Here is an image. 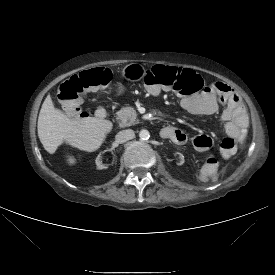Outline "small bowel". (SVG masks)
Wrapping results in <instances>:
<instances>
[{
  "mask_svg": "<svg viewBox=\"0 0 275 275\" xmlns=\"http://www.w3.org/2000/svg\"><path fill=\"white\" fill-rule=\"evenodd\" d=\"M221 105L225 107L218 116V123L228 137L242 145L247 138L249 119L239 95L229 85L216 82L201 94L191 95L182 100V106L188 112L199 116L214 114ZM161 136L178 144H184L188 140V136L182 130L174 127L162 129ZM190 141L197 151L204 153L200 163L201 184L206 187L215 185L222 168L217 161L216 151L211 149L213 146L211 137L196 132L192 134Z\"/></svg>",
  "mask_w": 275,
  "mask_h": 275,
  "instance_id": "small-bowel-1",
  "label": "small bowel"
}]
</instances>
